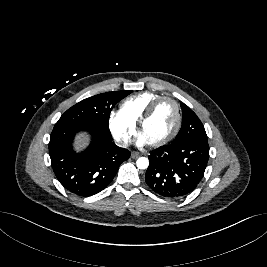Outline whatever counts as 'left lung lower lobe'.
Instances as JSON below:
<instances>
[{"label":"left lung lower lobe","instance_id":"0a47b994","mask_svg":"<svg viewBox=\"0 0 267 267\" xmlns=\"http://www.w3.org/2000/svg\"><path fill=\"white\" fill-rule=\"evenodd\" d=\"M145 180L158 195L177 199L191 193L201 181L209 159L208 142L188 140L150 154Z\"/></svg>","mask_w":267,"mask_h":267}]
</instances>
